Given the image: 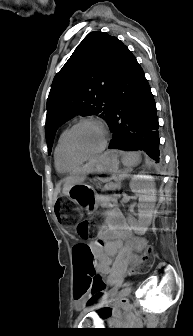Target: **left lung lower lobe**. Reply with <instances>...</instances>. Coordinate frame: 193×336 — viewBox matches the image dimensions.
I'll list each match as a JSON object with an SVG mask.
<instances>
[{
  "instance_id": "left-lung-lower-lobe-1",
  "label": "left lung lower lobe",
  "mask_w": 193,
  "mask_h": 336,
  "mask_svg": "<svg viewBox=\"0 0 193 336\" xmlns=\"http://www.w3.org/2000/svg\"><path fill=\"white\" fill-rule=\"evenodd\" d=\"M108 125L113 133L109 149H141L159 161L155 101L141 66L128 48L113 88Z\"/></svg>"
}]
</instances>
